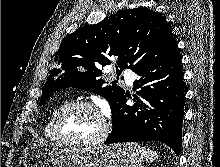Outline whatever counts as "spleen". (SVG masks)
<instances>
[{"label":"spleen","mask_w":220,"mask_h":167,"mask_svg":"<svg viewBox=\"0 0 220 167\" xmlns=\"http://www.w3.org/2000/svg\"><path fill=\"white\" fill-rule=\"evenodd\" d=\"M141 150L146 157L147 162H153L154 160H156V158H158V154L149 148L142 147Z\"/></svg>","instance_id":"1"}]
</instances>
